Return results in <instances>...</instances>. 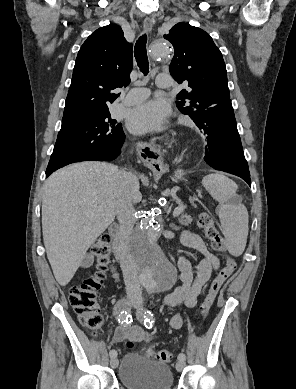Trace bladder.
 Returning a JSON list of instances; mask_svg holds the SVG:
<instances>
[{"label": "bladder", "instance_id": "1", "mask_svg": "<svg viewBox=\"0 0 296 389\" xmlns=\"http://www.w3.org/2000/svg\"><path fill=\"white\" fill-rule=\"evenodd\" d=\"M118 378L127 389H171L174 378L170 367L137 352H127L120 363Z\"/></svg>", "mask_w": 296, "mask_h": 389}]
</instances>
